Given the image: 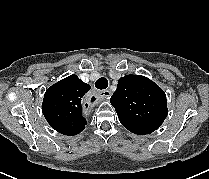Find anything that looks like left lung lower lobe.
Wrapping results in <instances>:
<instances>
[{"label": "left lung lower lobe", "instance_id": "obj_1", "mask_svg": "<svg viewBox=\"0 0 209 179\" xmlns=\"http://www.w3.org/2000/svg\"><path fill=\"white\" fill-rule=\"evenodd\" d=\"M127 128L129 131H131L132 133H135V134H139V135H145L144 133H142L141 131H138L134 128H128V127H125Z\"/></svg>", "mask_w": 209, "mask_h": 179}]
</instances>
